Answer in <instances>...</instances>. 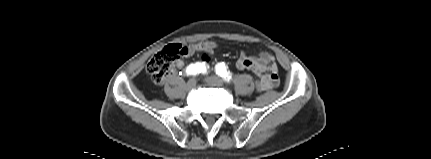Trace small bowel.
Returning <instances> with one entry per match:
<instances>
[{"label": "small bowel", "instance_id": "small-bowel-1", "mask_svg": "<svg viewBox=\"0 0 431 159\" xmlns=\"http://www.w3.org/2000/svg\"><path fill=\"white\" fill-rule=\"evenodd\" d=\"M196 46L209 48L211 50L210 55L213 53L214 49L216 48V44L213 41H204V42L193 44L189 47H196ZM201 54H208V53L203 52ZM183 67H184V62L182 60H178L175 64L174 70L182 69ZM236 67L239 70H244V69L251 70L257 75L258 79L261 82V89L259 91H265V90L275 88L279 84L278 66L275 63L274 57L268 52H262L258 56H252L246 52H241L236 62Z\"/></svg>", "mask_w": 431, "mask_h": 159}]
</instances>
